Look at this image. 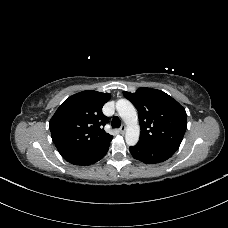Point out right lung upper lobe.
<instances>
[{
  "instance_id": "cb5924a9",
  "label": "right lung upper lobe",
  "mask_w": 228,
  "mask_h": 228,
  "mask_svg": "<svg viewBox=\"0 0 228 228\" xmlns=\"http://www.w3.org/2000/svg\"><path fill=\"white\" fill-rule=\"evenodd\" d=\"M111 95L86 90L66 99L50 120L52 140L63 158L81 154L110 142L105 132L103 105Z\"/></svg>"
}]
</instances>
